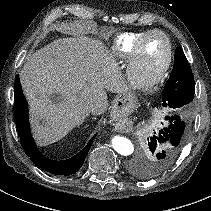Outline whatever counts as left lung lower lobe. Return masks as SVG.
<instances>
[{
	"mask_svg": "<svg viewBox=\"0 0 211 211\" xmlns=\"http://www.w3.org/2000/svg\"><path fill=\"white\" fill-rule=\"evenodd\" d=\"M180 115L167 116L169 125L159 131L156 130L147 138L146 152L156 156L158 165H166L179 153L188 127L190 115L188 111H178Z\"/></svg>",
	"mask_w": 211,
	"mask_h": 211,
	"instance_id": "1",
	"label": "left lung lower lobe"
}]
</instances>
